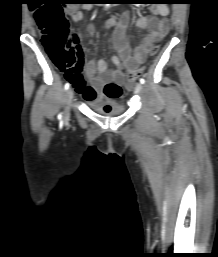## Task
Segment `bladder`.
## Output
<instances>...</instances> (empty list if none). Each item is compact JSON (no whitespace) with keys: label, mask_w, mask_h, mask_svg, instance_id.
<instances>
[{"label":"bladder","mask_w":218,"mask_h":257,"mask_svg":"<svg viewBox=\"0 0 218 257\" xmlns=\"http://www.w3.org/2000/svg\"><path fill=\"white\" fill-rule=\"evenodd\" d=\"M86 103L91 109L103 115H119L125 110L123 104L109 96H100L94 100H86Z\"/></svg>","instance_id":"31cf9c89"}]
</instances>
